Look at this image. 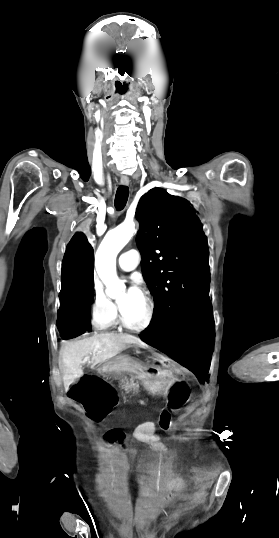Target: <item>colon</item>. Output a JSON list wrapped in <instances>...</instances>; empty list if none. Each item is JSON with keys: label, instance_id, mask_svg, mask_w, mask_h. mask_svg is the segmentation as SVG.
<instances>
[{"label": "colon", "instance_id": "5ec220e1", "mask_svg": "<svg viewBox=\"0 0 279 538\" xmlns=\"http://www.w3.org/2000/svg\"><path fill=\"white\" fill-rule=\"evenodd\" d=\"M104 439L106 442H109V443L117 442L119 444L124 445L125 435L123 432L119 430H111L106 433Z\"/></svg>", "mask_w": 279, "mask_h": 538}]
</instances>
